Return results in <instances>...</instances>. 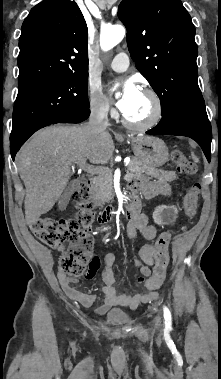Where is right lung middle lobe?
Segmentation results:
<instances>
[{
	"instance_id": "dd1d6c3e",
	"label": "right lung middle lobe",
	"mask_w": 221,
	"mask_h": 379,
	"mask_svg": "<svg viewBox=\"0 0 221 379\" xmlns=\"http://www.w3.org/2000/svg\"><path fill=\"white\" fill-rule=\"evenodd\" d=\"M87 80L88 73L66 74L18 85L10 142L88 110Z\"/></svg>"
}]
</instances>
